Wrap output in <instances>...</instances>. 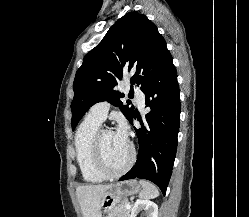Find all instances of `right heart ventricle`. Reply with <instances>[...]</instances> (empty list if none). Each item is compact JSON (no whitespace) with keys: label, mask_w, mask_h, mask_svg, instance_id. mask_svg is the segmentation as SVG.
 Returning a JSON list of instances; mask_svg holds the SVG:
<instances>
[{"label":"right heart ventricle","mask_w":249,"mask_h":217,"mask_svg":"<svg viewBox=\"0 0 249 217\" xmlns=\"http://www.w3.org/2000/svg\"><path fill=\"white\" fill-rule=\"evenodd\" d=\"M100 121L87 115L79 125L74 139L76 160L84 181L100 183L106 177L99 172L94 161L93 140L100 129Z\"/></svg>","instance_id":"e07e8e85"}]
</instances>
